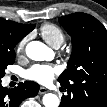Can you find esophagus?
<instances>
[{"instance_id": "34e87169", "label": "esophagus", "mask_w": 107, "mask_h": 107, "mask_svg": "<svg viewBox=\"0 0 107 107\" xmlns=\"http://www.w3.org/2000/svg\"><path fill=\"white\" fill-rule=\"evenodd\" d=\"M47 92H48V90H47L45 87H40V88H39V94H40V95L45 94V93H47Z\"/></svg>"}]
</instances>
